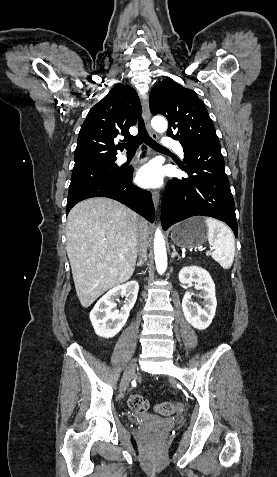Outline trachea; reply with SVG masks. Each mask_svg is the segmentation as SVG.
I'll list each match as a JSON object with an SVG mask.
<instances>
[{
    "label": "trachea",
    "mask_w": 277,
    "mask_h": 477,
    "mask_svg": "<svg viewBox=\"0 0 277 477\" xmlns=\"http://www.w3.org/2000/svg\"><path fill=\"white\" fill-rule=\"evenodd\" d=\"M145 142L148 146L156 151H169L167 148L155 142L147 133L142 118L138 122V134L130 142L122 146L127 150V153H135L141 143Z\"/></svg>",
    "instance_id": "trachea-1"
}]
</instances>
